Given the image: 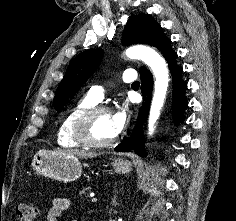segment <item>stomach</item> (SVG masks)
Segmentation results:
<instances>
[{"label": "stomach", "mask_w": 236, "mask_h": 221, "mask_svg": "<svg viewBox=\"0 0 236 221\" xmlns=\"http://www.w3.org/2000/svg\"><path fill=\"white\" fill-rule=\"evenodd\" d=\"M31 166L38 175L63 182L74 181L82 174L78 157L61 152L39 151L34 155ZM112 166L119 174H127L131 170V163L123 158L115 159Z\"/></svg>", "instance_id": "1"}]
</instances>
